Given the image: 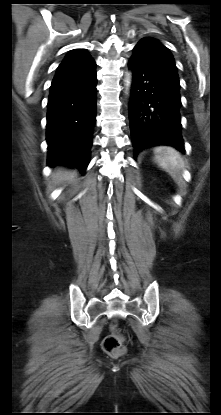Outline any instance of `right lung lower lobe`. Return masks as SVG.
<instances>
[{
  "instance_id": "right-lung-lower-lobe-1",
  "label": "right lung lower lobe",
  "mask_w": 221,
  "mask_h": 415,
  "mask_svg": "<svg viewBox=\"0 0 221 415\" xmlns=\"http://www.w3.org/2000/svg\"><path fill=\"white\" fill-rule=\"evenodd\" d=\"M96 64L56 72L48 98V165L85 171L90 162L96 118Z\"/></svg>"
}]
</instances>
